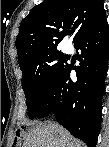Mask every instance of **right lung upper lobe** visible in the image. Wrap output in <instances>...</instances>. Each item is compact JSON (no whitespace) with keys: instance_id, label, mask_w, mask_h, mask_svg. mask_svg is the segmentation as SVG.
I'll use <instances>...</instances> for the list:
<instances>
[{"instance_id":"cb5924a9","label":"right lung upper lobe","mask_w":109,"mask_h":147,"mask_svg":"<svg viewBox=\"0 0 109 147\" xmlns=\"http://www.w3.org/2000/svg\"><path fill=\"white\" fill-rule=\"evenodd\" d=\"M105 15L103 0H44L21 21L15 43L20 68L56 51L70 31L75 43Z\"/></svg>"}]
</instances>
